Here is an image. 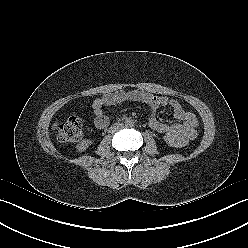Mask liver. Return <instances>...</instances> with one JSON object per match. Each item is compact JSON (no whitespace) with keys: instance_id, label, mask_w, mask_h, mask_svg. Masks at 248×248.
<instances>
[{"instance_id":"obj_1","label":"liver","mask_w":248,"mask_h":248,"mask_svg":"<svg viewBox=\"0 0 248 248\" xmlns=\"http://www.w3.org/2000/svg\"><path fill=\"white\" fill-rule=\"evenodd\" d=\"M57 125H58V122H55V123L53 124V126H52V130H55V128L57 127Z\"/></svg>"}]
</instances>
